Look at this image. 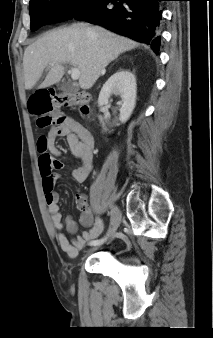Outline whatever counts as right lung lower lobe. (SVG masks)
<instances>
[{
    "instance_id": "98d812e1",
    "label": "right lung lower lobe",
    "mask_w": 213,
    "mask_h": 338,
    "mask_svg": "<svg viewBox=\"0 0 213 338\" xmlns=\"http://www.w3.org/2000/svg\"><path fill=\"white\" fill-rule=\"evenodd\" d=\"M161 1L167 0H96L73 18L146 43L158 54Z\"/></svg>"
}]
</instances>
